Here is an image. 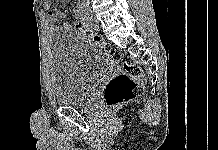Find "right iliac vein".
<instances>
[{
  "label": "right iliac vein",
  "instance_id": "63e3f726",
  "mask_svg": "<svg viewBox=\"0 0 218 150\" xmlns=\"http://www.w3.org/2000/svg\"><path fill=\"white\" fill-rule=\"evenodd\" d=\"M83 12H84V14L87 16V17H89L90 19H93V15H92V12H91V10L88 8V7H84L83 8Z\"/></svg>",
  "mask_w": 218,
  "mask_h": 150
}]
</instances>
